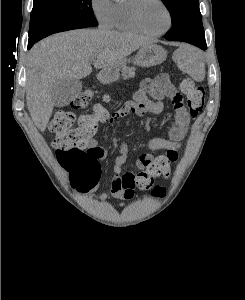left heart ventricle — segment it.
<instances>
[{
  "instance_id": "obj_1",
  "label": "left heart ventricle",
  "mask_w": 245,
  "mask_h": 300,
  "mask_svg": "<svg viewBox=\"0 0 245 300\" xmlns=\"http://www.w3.org/2000/svg\"><path fill=\"white\" fill-rule=\"evenodd\" d=\"M141 19L144 26L152 32L163 30L168 23L166 12L154 0H146L141 9Z\"/></svg>"
}]
</instances>
